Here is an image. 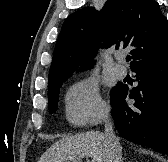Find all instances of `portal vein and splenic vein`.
<instances>
[{"label":"portal vein and splenic vein","instance_id":"portal-vein-and-splenic-vein-1","mask_svg":"<svg viewBox=\"0 0 168 162\" xmlns=\"http://www.w3.org/2000/svg\"><path fill=\"white\" fill-rule=\"evenodd\" d=\"M76 162H82L81 160H77Z\"/></svg>","mask_w":168,"mask_h":162}]
</instances>
